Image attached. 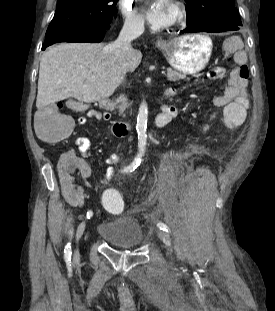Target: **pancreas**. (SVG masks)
Instances as JSON below:
<instances>
[{"mask_svg": "<svg viewBox=\"0 0 275 311\" xmlns=\"http://www.w3.org/2000/svg\"><path fill=\"white\" fill-rule=\"evenodd\" d=\"M184 75L181 73H178L176 71H173L171 69L167 70V79L169 81L175 82L179 81L180 79H183ZM115 105L119 110L120 114H123L125 109L130 106V103H128L127 98L124 95H121L119 98L116 99Z\"/></svg>", "mask_w": 275, "mask_h": 311, "instance_id": "obj_1", "label": "pancreas"}]
</instances>
